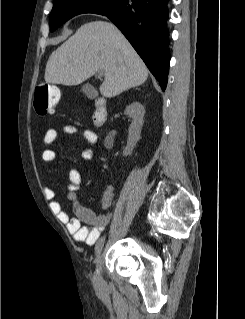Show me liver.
<instances>
[{
  "mask_svg": "<svg viewBox=\"0 0 245 319\" xmlns=\"http://www.w3.org/2000/svg\"><path fill=\"white\" fill-rule=\"evenodd\" d=\"M100 70L105 79L99 90L108 98L142 85L148 77L146 65L117 27L92 21L52 52L44 79L51 84L74 86Z\"/></svg>",
  "mask_w": 245,
  "mask_h": 319,
  "instance_id": "6515ba94",
  "label": "liver"
}]
</instances>
